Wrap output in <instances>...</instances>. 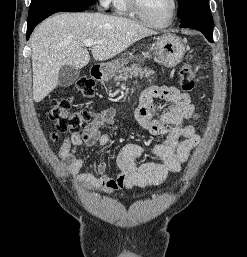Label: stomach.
I'll return each mask as SVG.
<instances>
[{"label": "stomach", "mask_w": 247, "mask_h": 257, "mask_svg": "<svg viewBox=\"0 0 247 257\" xmlns=\"http://www.w3.org/2000/svg\"><path fill=\"white\" fill-rule=\"evenodd\" d=\"M186 48V43L180 37L166 33L156 39L153 45L154 57L162 65L169 68L174 67L181 62ZM127 63V59H121L103 66V78L105 80L110 79L116 71Z\"/></svg>", "instance_id": "0dacf381"}]
</instances>
